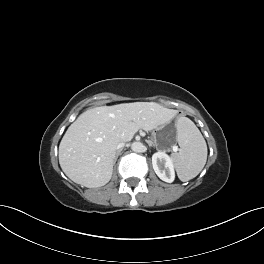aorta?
<instances>
[{
    "label": "aorta",
    "mask_w": 264,
    "mask_h": 264,
    "mask_svg": "<svg viewBox=\"0 0 264 264\" xmlns=\"http://www.w3.org/2000/svg\"><path fill=\"white\" fill-rule=\"evenodd\" d=\"M131 149L136 153H140L144 151L145 146L141 142H133L131 145Z\"/></svg>",
    "instance_id": "aorta-1"
}]
</instances>
